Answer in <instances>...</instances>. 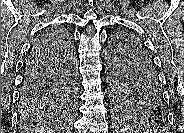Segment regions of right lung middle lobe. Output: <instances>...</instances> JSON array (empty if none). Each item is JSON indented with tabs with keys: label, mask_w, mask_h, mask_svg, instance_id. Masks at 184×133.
Segmentation results:
<instances>
[{
	"label": "right lung middle lobe",
	"mask_w": 184,
	"mask_h": 133,
	"mask_svg": "<svg viewBox=\"0 0 184 133\" xmlns=\"http://www.w3.org/2000/svg\"><path fill=\"white\" fill-rule=\"evenodd\" d=\"M47 30L53 32L58 38H61V41L67 47L63 51L65 63L64 74L62 81L58 84L55 95L51 99L39 103L20 102L21 115L26 118L43 115L52 111L72 109L74 105L76 69L69 33L60 27H53Z\"/></svg>",
	"instance_id": "right-lung-middle-lobe-1"
}]
</instances>
